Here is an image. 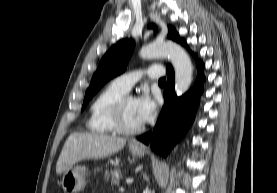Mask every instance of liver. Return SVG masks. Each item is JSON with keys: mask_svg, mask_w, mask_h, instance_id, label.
Segmentation results:
<instances>
[{"mask_svg": "<svg viewBox=\"0 0 277 193\" xmlns=\"http://www.w3.org/2000/svg\"><path fill=\"white\" fill-rule=\"evenodd\" d=\"M126 144L124 138L98 133L71 134L59 155L56 173L59 175L86 159H101L121 150Z\"/></svg>", "mask_w": 277, "mask_h": 193, "instance_id": "6515ba94", "label": "liver"}]
</instances>
